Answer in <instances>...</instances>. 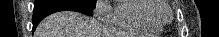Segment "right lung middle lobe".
<instances>
[{
	"instance_id": "right-lung-middle-lobe-1",
	"label": "right lung middle lobe",
	"mask_w": 219,
	"mask_h": 37,
	"mask_svg": "<svg viewBox=\"0 0 219 37\" xmlns=\"http://www.w3.org/2000/svg\"><path fill=\"white\" fill-rule=\"evenodd\" d=\"M52 2H55V1H53V0H35L34 7L45 5V4L52 3ZM67 2L77 4L85 9H87L88 11L93 12L94 3L96 2V0H71V1H67Z\"/></svg>"
}]
</instances>
